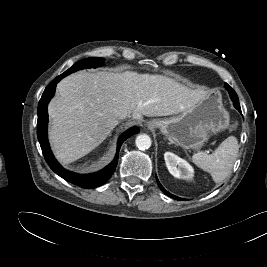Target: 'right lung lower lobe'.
<instances>
[{
	"label": "right lung lower lobe",
	"mask_w": 267,
	"mask_h": 267,
	"mask_svg": "<svg viewBox=\"0 0 267 267\" xmlns=\"http://www.w3.org/2000/svg\"><path fill=\"white\" fill-rule=\"evenodd\" d=\"M64 76L59 75L56 77L45 89L43 95L39 101L38 105V121H37V136L38 140L44 155V158L50 168L60 177L65 179L68 182H71L77 186L82 188H95L103 185L108 181L111 175L114 173L115 168L118 162L119 150L122 143L129 138L130 136L139 132L137 127H132L128 131H126L118 140L117 143V152L114 160L103 170L87 174L80 175L77 173H73L65 170L54 158L51 149L49 147L48 139H47V124H48V113H47V105L50 99L53 97L56 84L63 78Z\"/></svg>",
	"instance_id": "1"
}]
</instances>
